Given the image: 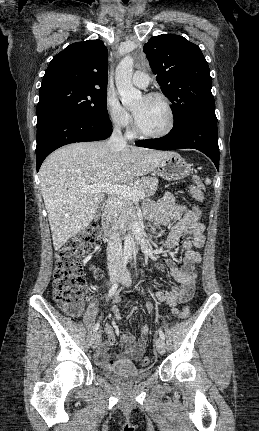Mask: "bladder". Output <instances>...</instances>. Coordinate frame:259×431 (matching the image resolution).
Wrapping results in <instances>:
<instances>
[{
  "mask_svg": "<svg viewBox=\"0 0 259 431\" xmlns=\"http://www.w3.org/2000/svg\"><path fill=\"white\" fill-rule=\"evenodd\" d=\"M102 374L111 381L128 386L146 380L152 374L150 369H138L132 364H116L102 369Z\"/></svg>",
  "mask_w": 259,
  "mask_h": 431,
  "instance_id": "1",
  "label": "bladder"
}]
</instances>
